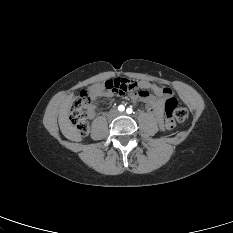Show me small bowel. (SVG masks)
<instances>
[{"mask_svg": "<svg viewBox=\"0 0 233 233\" xmlns=\"http://www.w3.org/2000/svg\"><path fill=\"white\" fill-rule=\"evenodd\" d=\"M137 87L130 91L129 98L133 103H143L146 109L156 118L158 123H162L165 100L172 96L169 87L160 86L147 81H136ZM114 92L106 89L104 83L93 84L89 88L90 105L88 107V117L94 118L97 115L100 99H107L114 96Z\"/></svg>", "mask_w": 233, "mask_h": 233, "instance_id": "small-bowel-1", "label": "small bowel"}]
</instances>
